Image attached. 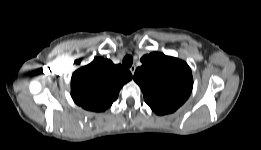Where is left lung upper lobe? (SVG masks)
I'll list each match as a JSON object with an SVG mask.
<instances>
[{
    "label": "left lung upper lobe",
    "instance_id": "1",
    "mask_svg": "<svg viewBox=\"0 0 261 150\" xmlns=\"http://www.w3.org/2000/svg\"><path fill=\"white\" fill-rule=\"evenodd\" d=\"M142 66L134 74L144 100L158 115L177 110L193 87L190 67L182 60L154 52L141 58Z\"/></svg>",
    "mask_w": 261,
    "mask_h": 150
}]
</instances>
